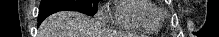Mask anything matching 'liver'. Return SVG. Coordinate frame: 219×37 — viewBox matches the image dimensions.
I'll list each match as a JSON object with an SVG mask.
<instances>
[{
  "instance_id": "liver-1",
  "label": "liver",
  "mask_w": 219,
  "mask_h": 37,
  "mask_svg": "<svg viewBox=\"0 0 219 37\" xmlns=\"http://www.w3.org/2000/svg\"><path fill=\"white\" fill-rule=\"evenodd\" d=\"M101 33L94 19L76 11L57 12L39 28V37H101Z\"/></svg>"
}]
</instances>
